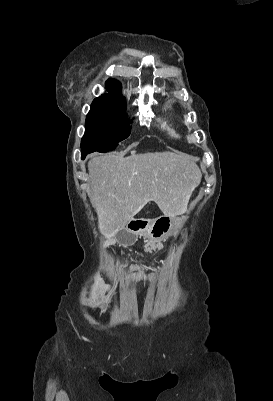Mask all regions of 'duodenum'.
<instances>
[{
	"instance_id": "1",
	"label": "duodenum",
	"mask_w": 273,
	"mask_h": 401,
	"mask_svg": "<svg viewBox=\"0 0 273 401\" xmlns=\"http://www.w3.org/2000/svg\"><path fill=\"white\" fill-rule=\"evenodd\" d=\"M147 221L145 219H133L128 225V231L132 234L140 233L146 229Z\"/></svg>"
}]
</instances>
